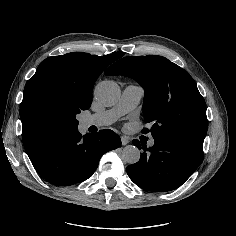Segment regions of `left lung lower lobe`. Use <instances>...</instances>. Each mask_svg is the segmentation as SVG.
<instances>
[{"label": "left lung lower lobe", "mask_w": 236, "mask_h": 236, "mask_svg": "<svg viewBox=\"0 0 236 236\" xmlns=\"http://www.w3.org/2000/svg\"><path fill=\"white\" fill-rule=\"evenodd\" d=\"M154 145L133 144L143 149L140 160L127 166V174L139 187L154 192H166L180 187L202 163V147L168 135L153 137Z\"/></svg>", "instance_id": "0a47b994"}]
</instances>
